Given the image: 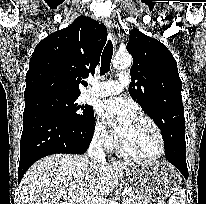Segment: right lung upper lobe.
Returning a JSON list of instances; mask_svg holds the SVG:
<instances>
[{"instance_id": "right-lung-upper-lobe-1", "label": "right lung upper lobe", "mask_w": 206, "mask_h": 204, "mask_svg": "<svg viewBox=\"0 0 206 204\" xmlns=\"http://www.w3.org/2000/svg\"><path fill=\"white\" fill-rule=\"evenodd\" d=\"M106 40V27L86 16L48 35L30 58L24 97L41 93L79 96V82L95 72Z\"/></svg>"}]
</instances>
